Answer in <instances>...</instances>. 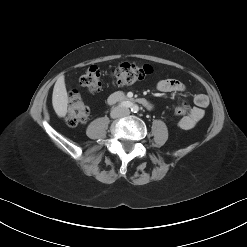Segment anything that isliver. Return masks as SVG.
Wrapping results in <instances>:
<instances>
[{"label":"liver","instance_id":"1","mask_svg":"<svg viewBox=\"0 0 247 247\" xmlns=\"http://www.w3.org/2000/svg\"><path fill=\"white\" fill-rule=\"evenodd\" d=\"M52 104L56 114L59 117H64L66 115L68 107V95L64 76H60L54 85Z\"/></svg>","mask_w":247,"mask_h":247}]
</instances>
